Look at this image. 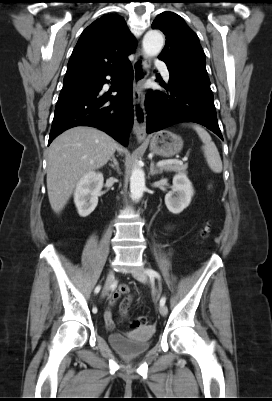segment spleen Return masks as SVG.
Masks as SVG:
<instances>
[{"mask_svg": "<svg viewBox=\"0 0 272 401\" xmlns=\"http://www.w3.org/2000/svg\"><path fill=\"white\" fill-rule=\"evenodd\" d=\"M203 142L202 150L208 163V166L214 173L222 172V161L215 143L212 141L209 133L199 125H192Z\"/></svg>", "mask_w": 272, "mask_h": 401, "instance_id": "3e777b00", "label": "spleen"}]
</instances>
